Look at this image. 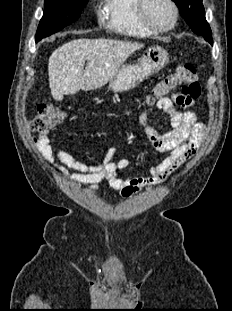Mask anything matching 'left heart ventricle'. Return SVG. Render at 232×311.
<instances>
[{"instance_id": "1", "label": "left heart ventricle", "mask_w": 232, "mask_h": 311, "mask_svg": "<svg viewBox=\"0 0 232 311\" xmlns=\"http://www.w3.org/2000/svg\"><path fill=\"white\" fill-rule=\"evenodd\" d=\"M146 15L151 23L159 27L169 26L173 20V9L167 0H148Z\"/></svg>"}]
</instances>
